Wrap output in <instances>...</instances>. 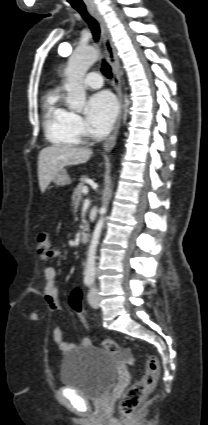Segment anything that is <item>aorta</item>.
Masks as SVG:
<instances>
[{
    "mask_svg": "<svg viewBox=\"0 0 208 425\" xmlns=\"http://www.w3.org/2000/svg\"><path fill=\"white\" fill-rule=\"evenodd\" d=\"M98 59V52L94 48H77L68 61L65 70L66 83L64 88L67 92L66 102L70 109L81 112L86 101V92L83 86L84 76L89 67ZM106 207L101 208V213H106ZM98 220L92 234L88 248L85 270L86 279H94L96 274V251L99 238L104 225V216Z\"/></svg>",
    "mask_w": 208,
    "mask_h": 425,
    "instance_id": "1",
    "label": "aorta"
}]
</instances>
